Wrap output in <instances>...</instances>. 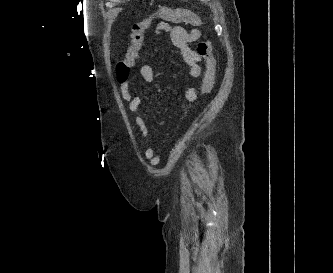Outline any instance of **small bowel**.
I'll return each mask as SVG.
<instances>
[{
	"label": "small bowel",
	"mask_w": 333,
	"mask_h": 273,
	"mask_svg": "<svg viewBox=\"0 0 333 273\" xmlns=\"http://www.w3.org/2000/svg\"><path fill=\"white\" fill-rule=\"evenodd\" d=\"M163 32L169 33L170 38L174 46L180 49L184 61L189 67V72L191 77L198 78L201 74V58L197 55L194 45L196 41L200 38V31L198 29L186 30L182 26L172 25L170 23L160 22L156 27V33L158 35ZM139 51L136 53L138 58ZM129 48L126 55H128ZM136 64L133 62L132 67ZM139 72L141 77L146 82H151L154 78L153 69L148 64H140ZM120 82V92L122 98L128 103V109L133 117V121L140 131L141 135L145 140L148 139V128L144 119L138 114V108L140 105V97L134 96L130 91V81L129 78L125 81ZM198 99V90L194 87L189 88L185 93V100L188 104H193ZM145 158L152 164L156 165L159 163V157L155 155L153 148L148 147L144 152Z\"/></svg>",
	"instance_id": "small-bowel-1"
}]
</instances>
